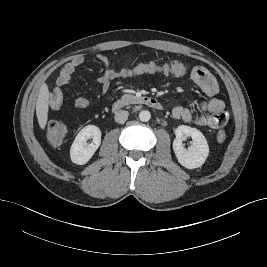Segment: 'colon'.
I'll return each instance as SVG.
<instances>
[{"instance_id":"5ec220e1","label":"colon","mask_w":267,"mask_h":267,"mask_svg":"<svg viewBox=\"0 0 267 267\" xmlns=\"http://www.w3.org/2000/svg\"><path fill=\"white\" fill-rule=\"evenodd\" d=\"M186 65L181 61H172L167 63L140 62L131 66L123 67L117 71V79H129L143 74H164L172 76H182L186 73ZM67 133L66 126L59 121H50L46 127V135L53 145H59L63 142ZM217 141L224 142L226 133L219 131Z\"/></svg>"}]
</instances>
